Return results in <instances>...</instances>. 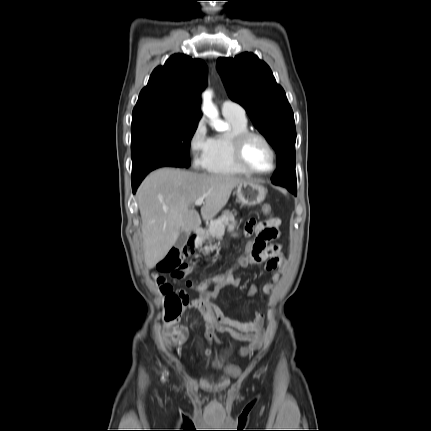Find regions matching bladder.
<instances>
[{
    "label": "bladder",
    "instance_id": "obj_1",
    "mask_svg": "<svg viewBox=\"0 0 431 431\" xmlns=\"http://www.w3.org/2000/svg\"><path fill=\"white\" fill-rule=\"evenodd\" d=\"M239 368L236 365H227L223 367L222 373L227 378H233L237 376Z\"/></svg>",
    "mask_w": 431,
    "mask_h": 431
}]
</instances>
